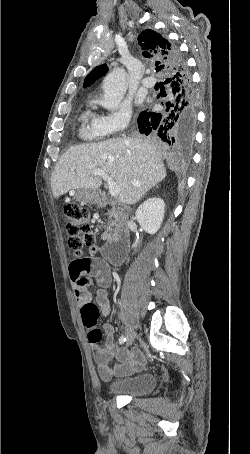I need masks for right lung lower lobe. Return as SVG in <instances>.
<instances>
[{
    "mask_svg": "<svg viewBox=\"0 0 250 454\" xmlns=\"http://www.w3.org/2000/svg\"><path fill=\"white\" fill-rule=\"evenodd\" d=\"M169 53L173 68L165 75L168 91L161 94L163 99L159 101L161 108L158 111H143L139 114V132L156 135L175 147H188L194 140L197 122L195 93L179 49L170 43Z\"/></svg>",
    "mask_w": 250,
    "mask_h": 454,
    "instance_id": "obj_1",
    "label": "right lung lower lobe"
}]
</instances>
